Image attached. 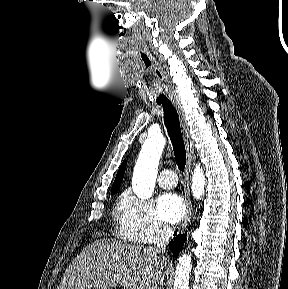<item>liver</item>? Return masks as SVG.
<instances>
[{"label": "liver", "mask_w": 288, "mask_h": 289, "mask_svg": "<svg viewBox=\"0 0 288 289\" xmlns=\"http://www.w3.org/2000/svg\"><path fill=\"white\" fill-rule=\"evenodd\" d=\"M167 263L152 247L100 239L73 259L58 289H161Z\"/></svg>", "instance_id": "liver-1"}]
</instances>
